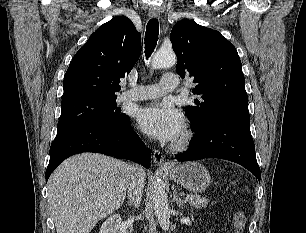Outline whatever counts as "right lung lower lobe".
<instances>
[{
	"mask_svg": "<svg viewBox=\"0 0 306 233\" xmlns=\"http://www.w3.org/2000/svg\"><path fill=\"white\" fill-rule=\"evenodd\" d=\"M83 152L102 153L132 160L146 168L150 167L151 152L144 146L136 132L130 128L129 118L120 126L92 123L57 134L50 147L46 181L63 160Z\"/></svg>",
	"mask_w": 306,
	"mask_h": 233,
	"instance_id": "1",
	"label": "right lung lower lobe"
}]
</instances>
